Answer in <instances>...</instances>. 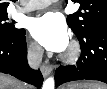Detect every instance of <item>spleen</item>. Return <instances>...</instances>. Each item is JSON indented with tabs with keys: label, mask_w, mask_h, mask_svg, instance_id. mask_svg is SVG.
Masks as SVG:
<instances>
[{
	"label": "spleen",
	"mask_w": 107,
	"mask_h": 89,
	"mask_svg": "<svg viewBox=\"0 0 107 89\" xmlns=\"http://www.w3.org/2000/svg\"><path fill=\"white\" fill-rule=\"evenodd\" d=\"M106 88H107V86L104 84H97V85H95V87H93V89H106Z\"/></svg>",
	"instance_id": "1"
}]
</instances>
